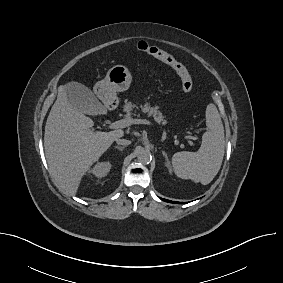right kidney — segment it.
Returning a JSON list of instances; mask_svg holds the SVG:
<instances>
[{"label": "right kidney", "mask_w": 283, "mask_h": 283, "mask_svg": "<svg viewBox=\"0 0 283 283\" xmlns=\"http://www.w3.org/2000/svg\"><path fill=\"white\" fill-rule=\"evenodd\" d=\"M111 167L112 165L109 161L98 162L91 170H89V173L97 178H102L109 173Z\"/></svg>", "instance_id": "obj_1"}]
</instances>
